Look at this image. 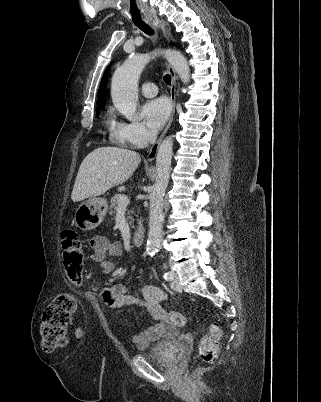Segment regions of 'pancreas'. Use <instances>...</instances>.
Wrapping results in <instances>:
<instances>
[{
  "instance_id": "cf45deb5",
  "label": "pancreas",
  "mask_w": 321,
  "mask_h": 402,
  "mask_svg": "<svg viewBox=\"0 0 321 402\" xmlns=\"http://www.w3.org/2000/svg\"><path fill=\"white\" fill-rule=\"evenodd\" d=\"M121 194H116L114 197L111 198L110 201V209H109V214L112 216L115 213V210L117 209V205H118V200L120 198ZM134 211L133 210H128L127 211V221L129 222V224L133 227V218L131 216V214H133Z\"/></svg>"
}]
</instances>
